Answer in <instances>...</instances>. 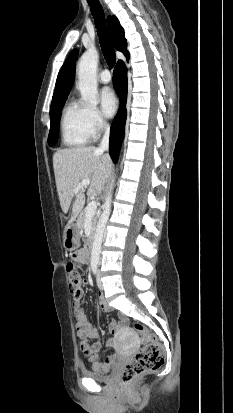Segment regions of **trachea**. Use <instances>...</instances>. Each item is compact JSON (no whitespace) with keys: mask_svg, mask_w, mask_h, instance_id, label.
<instances>
[{"mask_svg":"<svg viewBox=\"0 0 233 413\" xmlns=\"http://www.w3.org/2000/svg\"><path fill=\"white\" fill-rule=\"evenodd\" d=\"M87 2L95 21L103 56L107 64L113 67L116 62V54L106 28L103 8L99 0H87Z\"/></svg>","mask_w":233,"mask_h":413,"instance_id":"obj_1","label":"trachea"}]
</instances>
